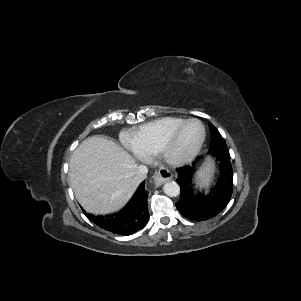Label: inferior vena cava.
I'll use <instances>...</instances> for the list:
<instances>
[{"label": "inferior vena cava", "mask_w": 301, "mask_h": 301, "mask_svg": "<svg viewBox=\"0 0 301 301\" xmlns=\"http://www.w3.org/2000/svg\"><path fill=\"white\" fill-rule=\"evenodd\" d=\"M147 173L148 168L145 165H139L133 177V183L136 185L140 184L144 179H146Z\"/></svg>", "instance_id": "obj_1"}]
</instances>
